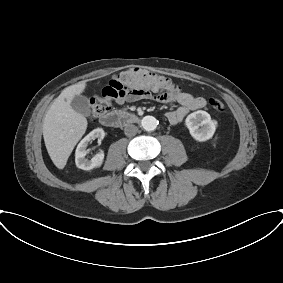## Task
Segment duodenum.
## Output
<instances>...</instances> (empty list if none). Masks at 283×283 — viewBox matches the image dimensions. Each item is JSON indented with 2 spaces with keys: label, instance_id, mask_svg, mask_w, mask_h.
<instances>
[{
  "label": "duodenum",
  "instance_id": "410a0bca",
  "mask_svg": "<svg viewBox=\"0 0 283 283\" xmlns=\"http://www.w3.org/2000/svg\"><path fill=\"white\" fill-rule=\"evenodd\" d=\"M139 121V117L134 113H126L122 111H111L104 114L100 118L102 125L106 127H119L134 124Z\"/></svg>",
  "mask_w": 283,
  "mask_h": 283
}]
</instances>
